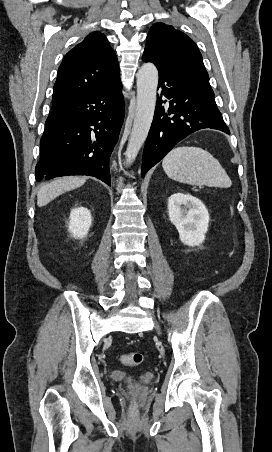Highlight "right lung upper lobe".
I'll list each match as a JSON object with an SVG mask.
<instances>
[{"mask_svg": "<svg viewBox=\"0 0 272 452\" xmlns=\"http://www.w3.org/2000/svg\"><path fill=\"white\" fill-rule=\"evenodd\" d=\"M118 80L120 71L113 49L102 33L92 32L63 59L53 89L52 110Z\"/></svg>", "mask_w": 272, "mask_h": 452, "instance_id": "1", "label": "right lung upper lobe"}]
</instances>
